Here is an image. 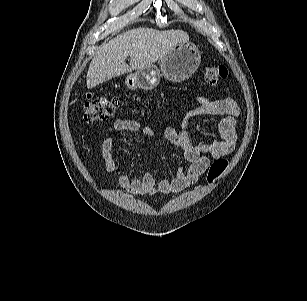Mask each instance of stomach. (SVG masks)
<instances>
[{"instance_id":"0dacf381","label":"stomach","mask_w":307,"mask_h":301,"mask_svg":"<svg viewBox=\"0 0 307 301\" xmlns=\"http://www.w3.org/2000/svg\"><path fill=\"white\" fill-rule=\"evenodd\" d=\"M201 61V51L190 42H181L160 60V69L150 64L137 69L125 79V85L131 89H154L164 76L171 82H183L198 69Z\"/></svg>"}]
</instances>
